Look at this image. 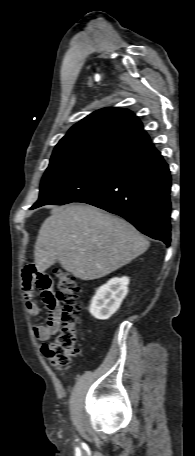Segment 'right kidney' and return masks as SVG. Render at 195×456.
I'll list each match as a JSON object with an SVG mask.
<instances>
[{
	"label": "right kidney",
	"instance_id": "1",
	"mask_svg": "<svg viewBox=\"0 0 195 456\" xmlns=\"http://www.w3.org/2000/svg\"><path fill=\"white\" fill-rule=\"evenodd\" d=\"M128 277H114L99 287L92 298L89 311L99 320L109 319L120 307L128 293Z\"/></svg>",
	"mask_w": 195,
	"mask_h": 456
}]
</instances>
